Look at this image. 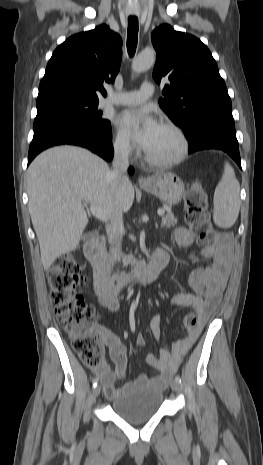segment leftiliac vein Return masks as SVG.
Listing matches in <instances>:
<instances>
[{
	"mask_svg": "<svg viewBox=\"0 0 263 465\" xmlns=\"http://www.w3.org/2000/svg\"><path fill=\"white\" fill-rule=\"evenodd\" d=\"M171 389L175 392L179 390V383L176 380H172L170 383Z\"/></svg>",
	"mask_w": 263,
	"mask_h": 465,
	"instance_id": "left-iliac-vein-1",
	"label": "left iliac vein"
}]
</instances>
